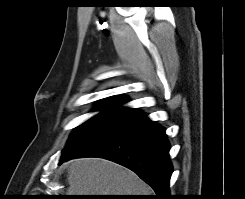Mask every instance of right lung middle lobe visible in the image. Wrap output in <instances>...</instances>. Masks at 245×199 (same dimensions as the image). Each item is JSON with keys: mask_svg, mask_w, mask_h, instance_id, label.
<instances>
[{"mask_svg": "<svg viewBox=\"0 0 245 199\" xmlns=\"http://www.w3.org/2000/svg\"><path fill=\"white\" fill-rule=\"evenodd\" d=\"M126 118L127 117L124 115L106 112L96 114L74 130L66 145V148L62 153L61 158L67 157L68 155L93 143L111 131L116 125Z\"/></svg>", "mask_w": 245, "mask_h": 199, "instance_id": "obj_1", "label": "right lung middle lobe"}]
</instances>
